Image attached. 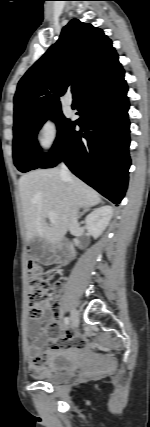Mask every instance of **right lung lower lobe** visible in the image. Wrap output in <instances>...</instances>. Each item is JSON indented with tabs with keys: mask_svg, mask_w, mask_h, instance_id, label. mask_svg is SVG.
<instances>
[{
	"mask_svg": "<svg viewBox=\"0 0 150 427\" xmlns=\"http://www.w3.org/2000/svg\"><path fill=\"white\" fill-rule=\"evenodd\" d=\"M121 65L79 94L76 121H69L52 152L38 168L64 161L69 169L115 204L124 197L131 165L129 102ZM75 125L80 131H75Z\"/></svg>",
	"mask_w": 150,
	"mask_h": 427,
	"instance_id": "obj_1",
	"label": "right lung lower lobe"
}]
</instances>
